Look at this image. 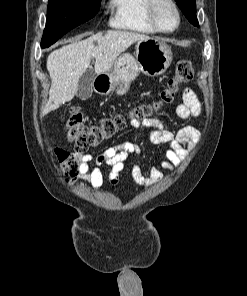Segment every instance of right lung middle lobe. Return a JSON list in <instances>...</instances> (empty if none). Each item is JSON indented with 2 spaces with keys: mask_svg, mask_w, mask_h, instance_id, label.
Returning <instances> with one entry per match:
<instances>
[{
  "mask_svg": "<svg viewBox=\"0 0 247 296\" xmlns=\"http://www.w3.org/2000/svg\"><path fill=\"white\" fill-rule=\"evenodd\" d=\"M101 0H49L41 47L55 43L74 27L93 18Z\"/></svg>",
  "mask_w": 247,
  "mask_h": 296,
  "instance_id": "dd1d6c3e",
  "label": "right lung middle lobe"
}]
</instances>
